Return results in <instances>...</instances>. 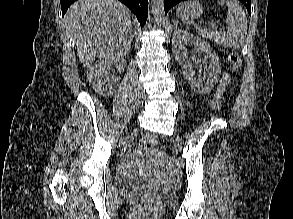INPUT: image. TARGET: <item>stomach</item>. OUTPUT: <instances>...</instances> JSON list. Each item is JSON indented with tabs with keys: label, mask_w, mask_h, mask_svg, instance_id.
Listing matches in <instances>:
<instances>
[{
	"label": "stomach",
	"mask_w": 293,
	"mask_h": 219,
	"mask_svg": "<svg viewBox=\"0 0 293 219\" xmlns=\"http://www.w3.org/2000/svg\"><path fill=\"white\" fill-rule=\"evenodd\" d=\"M202 5L196 0H189L179 5L177 8V16L184 21L196 19L202 15Z\"/></svg>",
	"instance_id": "0dacf381"
}]
</instances>
